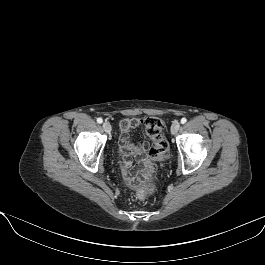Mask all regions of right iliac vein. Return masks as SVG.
<instances>
[{
  "label": "right iliac vein",
  "mask_w": 265,
  "mask_h": 265,
  "mask_svg": "<svg viewBox=\"0 0 265 265\" xmlns=\"http://www.w3.org/2000/svg\"><path fill=\"white\" fill-rule=\"evenodd\" d=\"M103 129L105 132L110 133V131L112 129L111 124L109 122H104L103 123Z\"/></svg>",
  "instance_id": "obj_1"
}]
</instances>
